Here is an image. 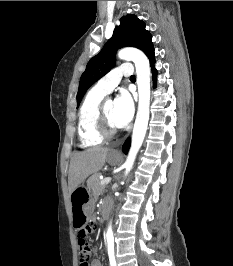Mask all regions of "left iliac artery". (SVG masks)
<instances>
[{
	"label": "left iliac artery",
	"instance_id": "obj_1",
	"mask_svg": "<svg viewBox=\"0 0 233 266\" xmlns=\"http://www.w3.org/2000/svg\"><path fill=\"white\" fill-rule=\"evenodd\" d=\"M107 244L110 266H116V260L114 255V238L112 236L107 237Z\"/></svg>",
	"mask_w": 233,
	"mask_h": 266
}]
</instances>
